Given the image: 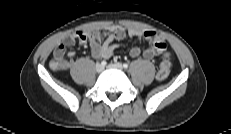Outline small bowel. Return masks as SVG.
<instances>
[{
    "label": "small bowel",
    "instance_id": "c3829d8e",
    "mask_svg": "<svg viewBox=\"0 0 231 134\" xmlns=\"http://www.w3.org/2000/svg\"><path fill=\"white\" fill-rule=\"evenodd\" d=\"M118 32L128 34L139 41H147L148 47L142 50L141 47L135 46L130 49L129 55L133 58L141 54L147 60L161 59L166 48L164 39L154 31L140 30L137 28H120L116 26L108 27L98 33L89 31H77L65 37L54 49L53 55L55 59H64L67 55L73 59L76 52L71 50L66 52L68 47H72L77 40L82 44H88L91 48L92 56L96 59H108L118 50L119 45L114 42H119L124 39L117 36ZM103 42V43H101ZM72 63V61H71Z\"/></svg>",
    "mask_w": 231,
    "mask_h": 134
}]
</instances>
